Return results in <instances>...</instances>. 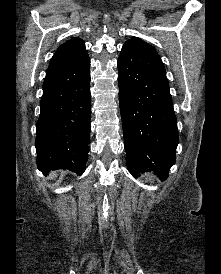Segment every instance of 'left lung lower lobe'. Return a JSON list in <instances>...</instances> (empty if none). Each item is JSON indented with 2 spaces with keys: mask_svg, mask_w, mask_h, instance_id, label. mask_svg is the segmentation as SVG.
<instances>
[{
  "mask_svg": "<svg viewBox=\"0 0 221 274\" xmlns=\"http://www.w3.org/2000/svg\"><path fill=\"white\" fill-rule=\"evenodd\" d=\"M117 65L128 170L133 177L154 171L164 180L175 163L179 142L164 64L126 42Z\"/></svg>",
  "mask_w": 221,
  "mask_h": 274,
  "instance_id": "1",
  "label": "left lung lower lobe"
}]
</instances>
